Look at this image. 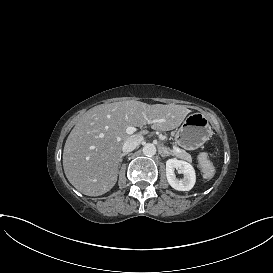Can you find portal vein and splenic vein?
<instances>
[{"label": "portal vein and splenic vein", "mask_w": 273, "mask_h": 273, "mask_svg": "<svg viewBox=\"0 0 273 273\" xmlns=\"http://www.w3.org/2000/svg\"><path fill=\"white\" fill-rule=\"evenodd\" d=\"M152 122H154V121H148V124H150V123H152ZM136 131H137V129H136L135 127H132V126H130V127H128V128L126 129V133L129 134V135L133 134V133L136 132ZM174 151H175V152L182 153V152H183V149H182V148H179V147H175V148H174Z\"/></svg>", "instance_id": "obj_1"}]
</instances>
